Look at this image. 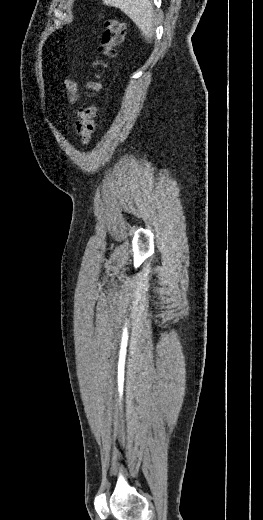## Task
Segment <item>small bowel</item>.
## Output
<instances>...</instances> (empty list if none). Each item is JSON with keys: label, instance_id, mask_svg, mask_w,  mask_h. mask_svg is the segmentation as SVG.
Returning <instances> with one entry per match:
<instances>
[{"label": "small bowel", "instance_id": "1", "mask_svg": "<svg viewBox=\"0 0 263 520\" xmlns=\"http://www.w3.org/2000/svg\"><path fill=\"white\" fill-rule=\"evenodd\" d=\"M64 85L68 92L69 100L71 102H75L78 98L76 84L73 81H71L70 79H66L64 81Z\"/></svg>", "mask_w": 263, "mask_h": 520}]
</instances>
